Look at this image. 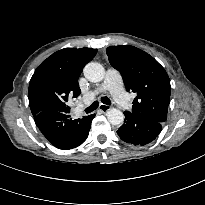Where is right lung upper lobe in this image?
<instances>
[{
  "label": "right lung upper lobe",
  "instance_id": "cb5924a9",
  "mask_svg": "<svg viewBox=\"0 0 205 205\" xmlns=\"http://www.w3.org/2000/svg\"><path fill=\"white\" fill-rule=\"evenodd\" d=\"M97 49L65 48L48 57L34 72L29 84V105L33 116L53 108L69 113L67 102L80 95L78 78Z\"/></svg>",
  "mask_w": 205,
  "mask_h": 205
}]
</instances>
